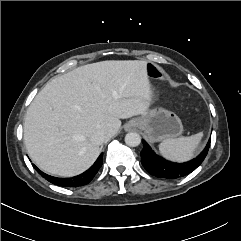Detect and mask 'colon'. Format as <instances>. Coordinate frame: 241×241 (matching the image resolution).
<instances>
[{"mask_svg": "<svg viewBox=\"0 0 241 241\" xmlns=\"http://www.w3.org/2000/svg\"><path fill=\"white\" fill-rule=\"evenodd\" d=\"M170 72L164 69L162 64L154 60H147L144 63V77L151 81H168L170 79Z\"/></svg>", "mask_w": 241, "mask_h": 241, "instance_id": "5ec220e1", "label": "colon"}]
</instances>
